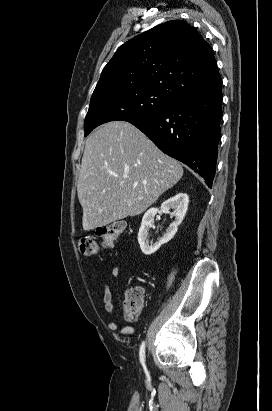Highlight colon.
<instances>
[{"label":"colon","instance_id":"colon-1","mask_svg":"<svg viewBox=\"0 0 272 411\" xmlns=\"http://www.w3.org/2000/svg\"><path fill=\"white\" fill-rule=\"evenodd\" d=\"M124 229L125 223L123 221H116L99 227L97 234L104 247L112 248L114 242ZM79 249L85 256H94L99 251V245L94 237L84 236L80 239ZM142 304L143 293L139 288L127 290L124 302L125 319L130 322L135 321L139 316Z\"/></svg>","mask_w":272,"mask_h":411}]
</instances>
